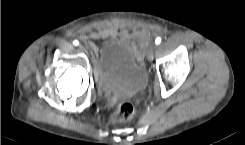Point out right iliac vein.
Listing matches in <instances>:
<instances>
[{"label": "right iliac vein", "instance_id": "63e3f726", "mask_svg": "<svg viewBox=\"0 0 245 145\" xmlns=\"http://www.w3.org/2000/svg\"><path fill=\"white\" fill-rule=\"evenodd\" d=\"M78 48H79L80 50H85V47H84L83 45H81V44L78 46Z\"/></svg>", "mask_w": 245, "mask_h": 145}]
</instances>
